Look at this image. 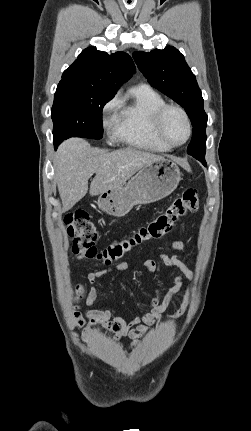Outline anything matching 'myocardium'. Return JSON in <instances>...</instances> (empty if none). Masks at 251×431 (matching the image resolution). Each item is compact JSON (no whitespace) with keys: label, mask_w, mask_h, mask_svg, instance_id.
Here are the masks:
<instances>
[{"label":"myocardium","mask_w":251,"mask_h":431,"mask_svg":"<svg viewBox=\"0 0 251 431\" xmlns=\"http://www.w3.org/2000/svg\"><path fill=\"white\" fill-rule=\"evenodd\" d=\"M169 110H176L178 111L184 118L186 126H187V135L185 137V139L180 142V143H174L171 142L164 134L163 132V120L164 117L166 115V113ZM152 128H153V132L155 134V136L165 145H167L170 148H174V147H179L184 145L191 137L192 134V125H191V120L189 118L188 113L186 112V110L177 105V104H169V103H165L162 106H160L154 113L153 115V120H152Z\"/></svg>","instance_id":"f54148a6"}]
</instances>
